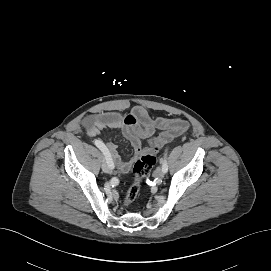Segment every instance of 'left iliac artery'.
<instances>
[{
	"mask_svg": "<svg viewBox=\"0 0 271 271\" xmlns=\"http://www.w3.org/2000/svg\"><path fill=\"white\" fill-rule=\"evenodd\" d=\"M162 163V170L164 173L168 171V165H167V149L165 150L164 157L161 159Z\"/></svg>",
	"mask_w": 271,
	"mask_h": 271,
	"instance_id": "44dca946",
	"label": "left iliac artery"
}]
</instances>
